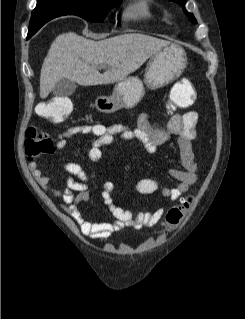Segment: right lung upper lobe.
Listing matches in <instances>:
<instances>
[{"label": "right lung upper lobe", "instance_id": "1", "mask_svg": "<svg viewBox=\"0 0 245 319\" xmlns=\"http://www.w3.org/2000/svg\"><path fill=\"white\" fill-rule=\"evenodd\" d=\"M68 1V0H38L36 8L32 12V17L35 18L37 24H31L29 26L28 34L33 35L39 28L49 20L61 16V8L56 2Z\"/></svg>", "mask_w": 245, "mask_h": 319}]
</instances>
